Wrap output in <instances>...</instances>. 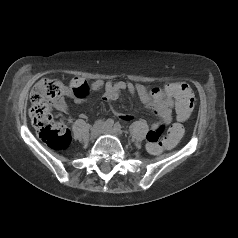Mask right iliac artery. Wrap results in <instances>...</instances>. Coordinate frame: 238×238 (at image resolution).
Instances as JSON below:
<instances>
[{"label":"right iliac artery","instance_id":"obj_1","mask_svg":"<svg viewBox=\"0 0 238 238\" xmlns=\"http://www.w3.org/2000/svg\"><path fill=\"white\" fill-rule=\"evenodd\" d=\"M113 124H114V121H113L112 119H107V120L105 121V126H106V127H112Z\"/></svg>","mask_w":238,"mask_h":238}]
</instances>
